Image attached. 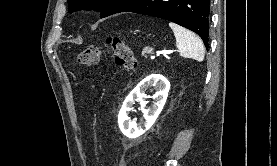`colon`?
Returning a JSON list of instances; mask_svg holds the SVG:
<instances>
[{"mask_svg": "<svg viewBox=\"0 0 277 166\" xmlns=\"http://www.w3.org/2000/svg\"><path fill=\"white\" fill-rule=\"evenodd\" d=\"M110 47L116 64L127 69L134 70L137 67V59L132 48L117 36H109L106 40ZM102 56V47L91 45L81 50L76 57L78 66H92L97 64Z\"/></svg>", "mask_w": 277, "mask_h": 166, "instance_id": "colon-1", "label": "colon"}]
</instances>
